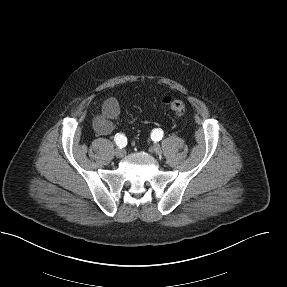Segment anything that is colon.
Masks as SVG:
<instances>
[{"label":"colon","instance_id":"obj_1","mask_svg":"<svg viewBox=\"0 0 287 287\" xmlns=\"http://www.w3.org/2000/svg\"><path fill=\"white\" fill-rule=\"evenodd\" d=\"M163 103L171 112L178 116L185 113L186 108L184 102L176 96H165Z\"/></svg>","mask_w":287,"mask_h":287}]
</instances>
